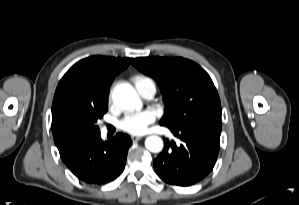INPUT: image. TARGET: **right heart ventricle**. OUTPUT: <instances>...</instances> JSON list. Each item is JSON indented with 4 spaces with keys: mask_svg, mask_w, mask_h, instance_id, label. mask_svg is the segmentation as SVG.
Returning a JSON list of instances; mask_svg holds the SVG:
<instances>
[{
    "mask_svg": "<svg viewBox=\"0 0 299 205\" xmlns=\"http://www.w3.org/2000/svg\"><path fill=\"white\" fill-rule=\"evenodd\" d=\"M146 80H151V79H149L148 77H145V76H135L133 78V81H134V84H135L137 90L139 89L140 85Z\"/></svg>",
    "mask_w": 299,
    "mask_h": 205,
    "instance_id": "e07e8e85",
    "label": "right heart ventricle"
}]
</instances>
